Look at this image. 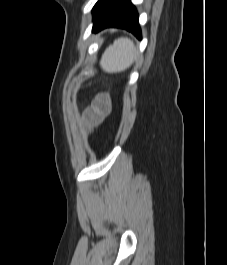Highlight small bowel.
Listing matches in <instances>:
<instances>
[{"instance_id": "small-bowel-1", "label": "small bowel", "mask_w": 227, "mask_h": 265, "mask_svg": "<svg viewBox=\"0 0 227 265\" xmlns=\"http://www.w3.org/2000/svg\"><path fill=\"white\" fill-rule=\"evenodd\" d=\"M111 105L105 95H100L94 101L88 117L93 125L101 123L104 118L110 113Z\"/></svg>"}]
</instances>
